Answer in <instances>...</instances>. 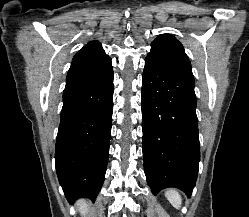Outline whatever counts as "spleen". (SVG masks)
<instances>
[{
	"label": "spleen",
	"mask_w": 249,
	"mask_h": 217,
	"mask_svg": "<svg viewBox=\"0 0 249 217\" xmlns=\"http://www.w3.org/2000/svg\"><path fill=\"white\" fill-rule=\"evenodd\" d=\"M165 196L175 208H180L182 199L179 192L176 189H168L165 192Z\"/></svg>",
	"instance_id": "3e777b00"
}]
</instances>
